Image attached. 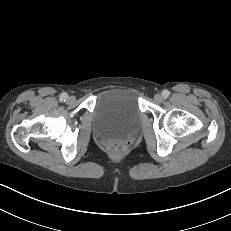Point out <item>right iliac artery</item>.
<instances>
[{
	"label": "right iliac artery",
	"mask_w": 231,
	"mask_h": 231,
	"mask_svg": "<svg viewBox=\"0 0 231 231\" xmlns=\"http://www.w3.org/2000/svg\"><path fill=\"white\" fill-rule=\"evenodd\" d=\"M67 98H68L67 93H61V95H60V101L64 102V101L67 100Z\"/></svg>",
	"instance_id": "82829eb1"
}]
</instances>
